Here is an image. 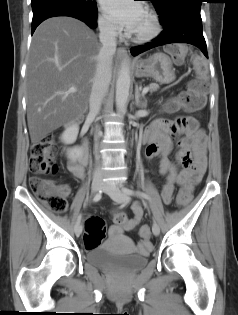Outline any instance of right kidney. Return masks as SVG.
<instances>
[{
    "mask_svg": "<svg viewBox=\"0 0 238 315\" xmlns=\"http://www.w3.org/2000/svg\"><path fill=\"white\" fill-rule=\"evenodd\" d=\"M79 126L71 125L65 129V131L61 135V140L65 144H73L78 136ZM83 154V150L81 147L75 146L73 148L67 149V155L72 161H76L81 158Z\"/></svg>",
    "mask_w": 238,
    "mask_h": 315,
    "instance_id": "1",
    "label": "right kidney"
}]
</instances>
